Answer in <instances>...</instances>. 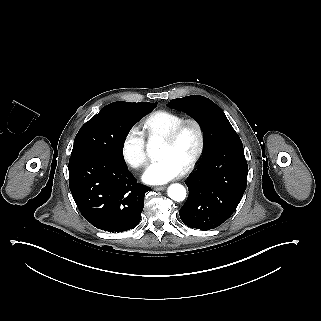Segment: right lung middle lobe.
<instances>
[{
    "label": "right lung middle lobe",
    "instance_id": "right-lung-middle-lobe-1",
    "mask_svg": "<svg viewBox=\"0 0 321 321\" xmlns=\"http://www.w3.org/2000/svg\"><path fill=\"white\" fill-rule=\"evenodd\" d=\"M156 106L157 102H113L106 105L81 127L71 156L95 154L125 162L123 146L130 129Z\"/></svg>",
    "mask_w": 321,
    "mask_h": 321
}]
</instances>
